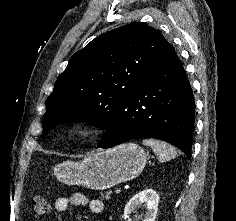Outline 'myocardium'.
Returning a JSON list of instances; mask_svg holds the SVG:
<instances>
[{
    "mask_svg": "<svg viewBox=\"0 0 236 221\" xmlns=\"http://www.w3.org/2000/svg\"><path fill=\"white\" fill-rule=\"evenodd\" d=\"M95 129V126L89 122L76 123L69 129V136L73 139H83L90 136Z\"/></svg>",
    "mask_w": 236,
    "mask_h": 221,
    "instance_id": "f54148a6",
    "label": "myocardium"
}]
</instances>
